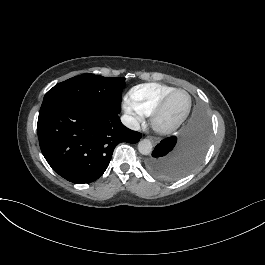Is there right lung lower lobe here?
Masks as SVG:
<instances>
[{
  "instance_id": "obj_1",
  "label": "right lung lower lobe",
  "mask_w": 265,
  "mask_h": 265,
  "mask_svg": "<svg viewBox=\"0 0 265 265\" xmlns=\"http://www.w3.org/2000/svg\"><path fill=\"white\" fill-rule=\"evenodd\" d=\"M37 132L41 151L60 176L90 183L107 169L114 148L137 143L141 134L126 128L118 114H105L71 101L40 110Z\"/></svg>"
}]
</instances>
